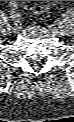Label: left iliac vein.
Here are the masks:
<instances>
[{
	"label": "left iliac vein",
	"instance_id": "left-iliac-vein-1",
	"mask_svg": "<svg viewBox=\"0 0 74 122\" xmlns=\"http://www.w3.org/2000/svg\"><path fill=\"white\" fill-rule=\"evenodd\" d=\"M62 21H64V20H59V23L60 22H62ZM50 29H51V31L52 32H54L55 34H57V35H63L64 34V30L62 29V27H60V25L59 26H57V25H51L50 26Z\"/></svg>",
	"mask_w": 74,
	"mask_h": 122
}]
</instances>
